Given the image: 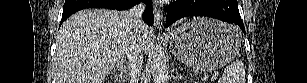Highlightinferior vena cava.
I'll list each match as a JSON object with an SVG mask.
<instances>
[{"instance_id": "602c4592", "label": "inferior vena cava", "mask_w": 307, "mask_h": 83, "mask_svg": "<svg viewBox=\"0 0 307 83\" xmlns=\"http://www.w3.org/2000/svg\"><path fill=\"white\" fill-rule=\"evenodd\" d=\"M145 5L140 3L128 11L130 21V37L127 45L126 55L131 69V79L138 83L143 68V54L141 45V30L145 24L141 20Z\"/></svg>"}]
</instances>
